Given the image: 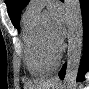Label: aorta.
Instances as JSON below:
<instances>
[{"label": "aorta", "instance_id": "obj_1", "mask_svg": "<svg viewBox=\"0 0 89 89\" xmlns=\"http://www.w3.org/2000/svg\"><path fill=\"white\" fill-rule=\"evenodd\" d=\"M65 4L68 24V51L64 82L65 89H75L83 46L82 15L79 0H65ZM38 19L42 23H47L50 16L47 12H42Z\"/></svg>", "mask_w": 89, "mask_h": 89}]
</instances>
